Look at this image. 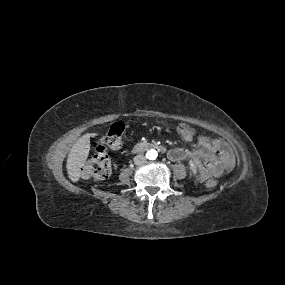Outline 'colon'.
<instances>
[{"instance_id":"colon-1","label":"colon","mask_w":285,"mask_h":285,"mask_svg":"<svg viewBox=\"0 0 285 285\" xmlns=\"http://www.w3.org/2000/svg\"><path fill=\"white\" fill-rule=\"evenodd\" d=\"M125 126L121 122L113 123L102 143L96 148L95 154L89 158L82 167L81 174L86 179L104 180L111 173V162L108 155V149H119L122 146V137ZM179 136L185 141H192L196 137V130L188 124H180L177 128ZM206 186L213 188L216 186V180L208 179Z\"/></svg>"}]
</instances>
